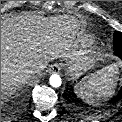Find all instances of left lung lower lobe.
Wrapping results in <instances>:
<instances>
[{
	"label": "left lung lower lobe",
	"mask_w": 122,
	"mask_h": 122,
	"mask_svg": "<svg viewBox=\"0 0 122 122\" xmlns=\"http://www.w3.org/2000/svg\"><path fill=\"white\" fill-rule=\"evenodd\" d=\"M114 54L122 60V49L121 48L116 49ZM119 100H122V87L119 90V93L117 94V96L114 98V101H119Z\"/></svg>",
	"instance_id": "obj_1"
}]
</instances>
